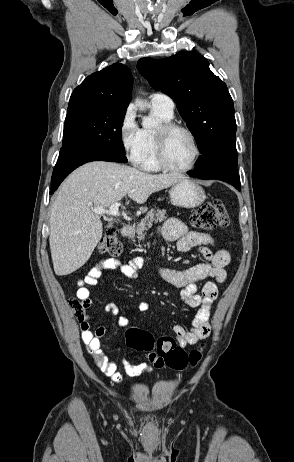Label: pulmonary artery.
<instances>
[{"instance_id": "pulmonary-artery-1", "label": "pulmonary artery", "mask_w": 294, "mask_h": 462, "mask_svg": "<svg viewBox=\"0 0 294 462\" xmlns=\"http://www.w3.org/2000/svg\"><path fill=\"white\" fill-rule=\"evenodd\" d=\"M150 104L153 108L160 109L168 114L174 113V101L164 93H153L150 96Z\"/></svg>"}]
</instances>
